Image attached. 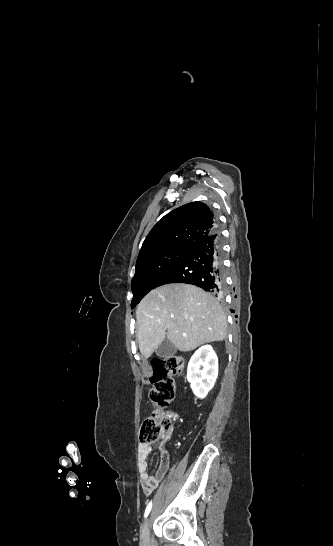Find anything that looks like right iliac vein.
Wrapping results in <instances>:
<instances>
[{
	"label": "right iliac vein",
	"mask_w": 333,
	"mask_h": 546,
	"mask_svg": "<svg viewBox=\"0 0 333 546\" xmlns=\"http://www.w3.org/2000/svg\"><path fill=\"white\" fill-rule=\"evenodd\" d=\"M149 527H150V517H148L141 529V542L142 544H146L149 541Z\"/></svg>",
	"instance_id": "obj_1"
}]
</instances>
